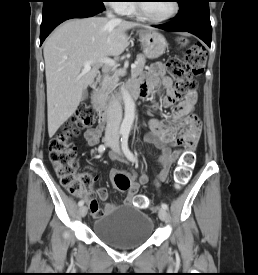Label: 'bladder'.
<instances>
[{
  "label": "bladder",
  "mask_w": 258,
  "mask_h": 275,
  "mask_svg": "<svg viewBox=\"0 0 258 275\" xmlns=\"http://www.w3.org/2000/svg\"><path fill=\"white\" fill-rule=\"evenodd\" d=\"M154 221L133 206H125L100 216L93 223V233L105 243L132 249L145 244L152 236Z\"/></svg>",
  "instance_id": "31cf9c89"
}]
</instances>
